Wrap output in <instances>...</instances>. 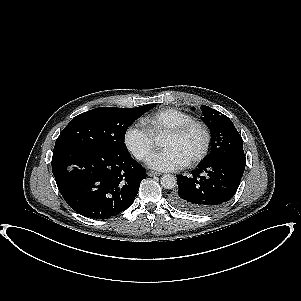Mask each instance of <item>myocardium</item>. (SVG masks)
Listing matches in <instances>:
<instances>
[{"label":"myocardium","instance_id":"obj_1","mask_svg":"<svg viewBox=\"0 0 301 301\" xmlns=\"http://www.w3.org/2000/svg\"><path fill=\"white\" fill-rule=\"evenodd\" d=\"M194 127H197L201 130L203 135V143L200 149L191 158L187 160L188 164H194L200 161L206 155L210 143V134L207 130V127L202 122L193 120L188 123L182 124L176 128L167 130L162 136V140L166 137H178Z\"/></svg>","mask_w":301,"mask_h":301}]
</instances>
